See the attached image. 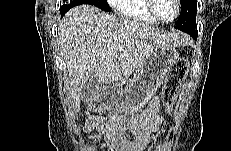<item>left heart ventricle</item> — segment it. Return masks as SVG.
<instances>
[{"instance_id": "left-heart-ventricle-1", "label": "left heart ventricle", "mask_w": 231, "mask_h": 151, "mask_svg": "<svg viewBox=\"0 0 231 151\" xmlns=\"http://www.w3.org/2000/svg\"><path fill=\"white\" fill-rule=\"evenodd\" d=\"M156 12L163 19H171L176 12L174 0H156Z\"/></svg>"}]
</instances>
